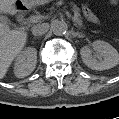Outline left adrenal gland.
<instances>
[{"label": "left adrenal gland", "instance_id": "a2214340", "mask_svg": "<svg viewBox=\"0 0 119 119\" xmlns=\"http://www.w3.org/2000/svg\"><path fill=\"white\" fill-rule=\"evenodd\" d=\"M73 36L78 37V38H83L84 37V35L82 33H79V32H73Z\"/></svg>", "mask_w": 119, "mask_h": 119}]
</instances>
